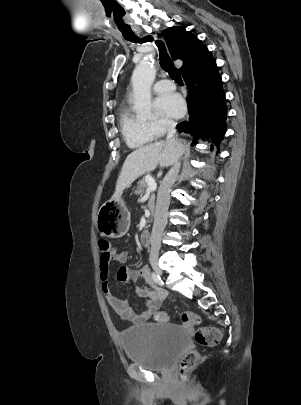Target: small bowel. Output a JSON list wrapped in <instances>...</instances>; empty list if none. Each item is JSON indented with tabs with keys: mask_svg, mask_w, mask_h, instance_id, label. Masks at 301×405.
I'll return each instance as SVG.
<instances>
[{
	"mask_svg": "<svg viewBox=\"0 0 301 405\" xmlns=\"http://www.w3.org/2000/svg\"><path fill=\"white\" fill-rule=\"evenodd\" d=\"M128 253L111 249L108 256L101 255L100 279L102 281V293L109 306L123 319L131 323H142L148 321L155 315L166 297V292L155 285L150 276L149 268L142 266L138 269H131L126 266ZM111 262L119 264L117 279L128 284L134 293L142 298L145 309L136 313L128 304L127 300L115 296L108 282L109 267ZM143 278L148 286H141L138 281Z\"/></svg>",
	"mask_w": 301,
	"mask_h": 405,
	"instance_id": "1",
	"label": "small bowel"
}]
</instances>
